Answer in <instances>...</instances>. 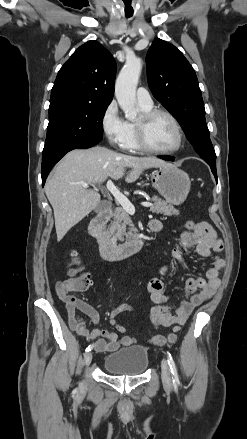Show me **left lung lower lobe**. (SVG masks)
<instances>
[{
  "instance_id": "obj_1",
  "label": "left lung lower lobe",
  "mask_w": 247,
  "mask_h": 439,
  "mask_svg": "<svg viewBox=\"0 0 247 439\" xmlns=\"http://www.w3.org/2000/svg\"><path fill=\"white\" fill-rule=\"evenodd\" d=\"M161 159L166 160V161H174V157L172 156H160ZM211 170L217 180V173H216V167H211Z\"/></svg>"
}]
</instances>
